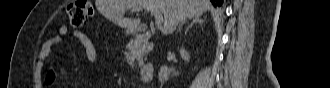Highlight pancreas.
<instances>
[{"label":"pancreas","instance_id":"pancreas-1","mask_svg":"<svg viewBox=\"0 0 330 88\" xmlns=\"http://www.w3.org/2000/svg\"><path fill=\"white\" fill-rule=\"evenodd\" d=\"M145 51H146V48L144 47V48H142L140 50H137L135 52V54H133L131 57L132 58H138L139 59L140 57H142L145 54Z\"/></svg>","mask_w":330,"mask_h":88}]
</instances>
